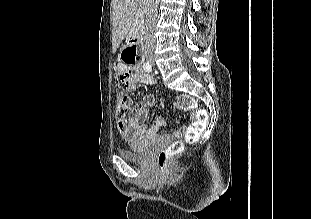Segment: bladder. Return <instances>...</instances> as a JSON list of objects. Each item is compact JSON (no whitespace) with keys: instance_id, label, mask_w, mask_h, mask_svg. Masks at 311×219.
<instances>
[{"instance_id":"bladder-1","label":"bladder","mask_w":311,"mask_h":219,"mask_svg":"<svg viewBox=\"0 0 311 219\" xmlns=\"http://www.w3.org/2000/svg\"><path fill=\"white\" fill-rule=\"evenodd\" d=\"M149 144H132L130 148H121L118 150L119 155L128 161L141 162L143 161L150 152Z\"/></svg>"}]
</instances>
